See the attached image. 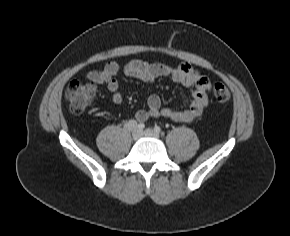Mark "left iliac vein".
<instances>
[{"label":"left iliac vein","instance_id":"1","mask_svg":"<svg viewBox=\"0 0 290 236\" xmlns=\"http://www.w3.org/2000/svg\"><path fill=\"white\" fill-rule=\"evenodd\" d=\"M144 135L147 136V137L155 138V139L159 138V133H157L155 130H153L151 128H147L144 131Z\"/></svg>","mask_w":290,"mask_h":236}]
</instances>
